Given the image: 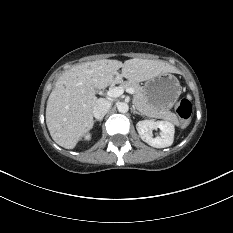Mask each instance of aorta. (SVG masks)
I'll list each match as a JSON object with an SVG mask.
<instances>
[{
  "mask_svg": "<svg viewBox=\"0 0 233 233\" xmlns=\"http://www.w3.org/2000/svg\"><path fill=\"white\" fill-rule=\"evenodd\" d=\"M117 109L120 113H126L129 110V106L126 102H119L117 104Z\"/></svg>",
  "mask_w": 233,
  "mask_h": 233,
  "instance_id": "762f6f07",
  "label": "aorta"
}]
</instances>
